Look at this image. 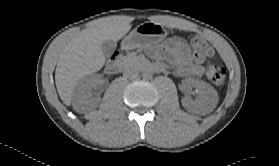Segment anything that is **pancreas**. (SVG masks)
<instances>
[{
	"instance_id": "1",
	"label": "pancreas",
	"mask_w": 279,
	"mask_h": 166,
	"mask_svg": "<svg viewBox=\"0 0 279 166\" xmlns=\"http://www.w3.org/2000/svg\"><path fill=\"white\" fill-rule=\"evenodd\" d=\"M122 60H123V62L126 66H132V65H139L140 64V60L132 54L127 55V56H123Z\"/></svg>"
}]
</instances>
